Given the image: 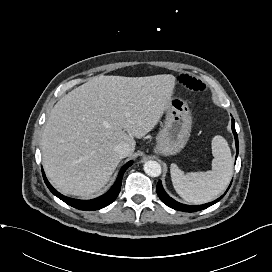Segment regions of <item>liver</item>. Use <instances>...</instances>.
Masks as SVG:
<instances>
[{"instance_id": "6515ba94", "label": "liver", "mask_w": 272, "mask_h": 272, "mask_svg": "<svg viewBox=\"0 0 272 272\" xmlns=\"http://www.w3.org/2000/svg\"><path fill=\"white\" fill-rule=\"evenodd\" d=\"M176 78L99 75L63 96L44 125L45 173L60 192L90 198L109 181L121 158L114 147L150 132L170 105Z\"/></svg>"}]
</instances>
